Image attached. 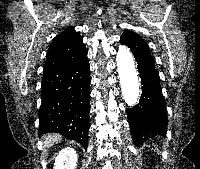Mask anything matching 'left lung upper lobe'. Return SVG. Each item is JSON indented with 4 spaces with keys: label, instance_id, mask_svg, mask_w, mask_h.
Masks as SVG:
<instances>
[{
    "label": "left lung upper lobe",
    "instance_id": "1",
    "mask_svg": "<svg viewBox=\"0 0 200 169\" xmlns=\"http://www.w3.org/2000/svg\"><path fill=\"white\" fill-rule=\"evenodd\" d=\"M121 39L128 43L129 48L134 53H147L148 55H151L149 51V46L145 43V41L140 39L139 35L135 34L134 32H124L121 36Z\"/></svg>",
    "mask_w": 200,
    "mask_h": 169
}]
</instances>
